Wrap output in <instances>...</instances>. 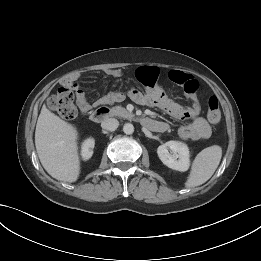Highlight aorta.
Masks as SVG:
<instances>
[{
  "label": "aorta",
  "mask_w": 261,
  "mask_h": 261,
  "mask_svg": "<svg viewBox=\"0 0 261 261\" xmlns=\"http://www.w3.org/2000/svg\"><path fill=\"white\" fill-rule=\"evenodd\" d=\"M123 132L127 135L133 134L134 132V126L131 123H126L123 126Z\"/></svg>",
  "instance_id": "aorta-1"
}]
</instances>
